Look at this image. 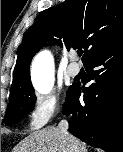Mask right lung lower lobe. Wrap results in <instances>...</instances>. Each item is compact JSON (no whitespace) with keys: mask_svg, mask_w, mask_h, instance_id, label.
I'll return each instance as SVG.
<instances>
[{"mask_svg":"<svg viewBox=\"0 0 123 152\" xmlns=\"http://www.w3.org/2000/svg\"><path fill=\"white\" fill-rule=\"evenodd\" d=\"M84 65L92 83L83 90L74 85L67 95L63 114L71 115L69 131L93 147L123 152V37Z\"/></svg>","mask_w":123,"mask_h":152,"instance_id":"obj_1","label":"right lung lower lobe"}]
</instances>
